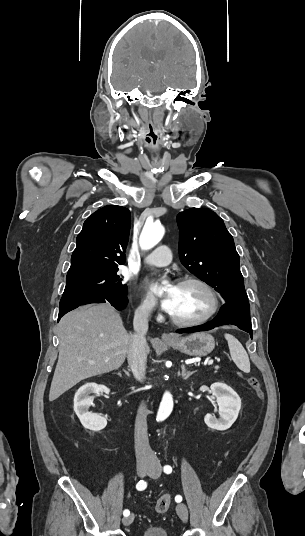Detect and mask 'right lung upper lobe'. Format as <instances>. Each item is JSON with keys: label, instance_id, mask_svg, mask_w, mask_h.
<instances>
[{"label": "right lung upper lobe", "instance_id": "obj_1", "mask_svg": "<svg viewBox=\"0 0 305 536\" xmlns=\"http://www.w3.org/2000/svg\"><path fill=\"white\" fill-rule=\"evenodd\" d=\"M130 211L108 205L94 212L77 236L67 278L118 269L125 263Z\"/></svg>", "mask_w": 305, "mask_h": 536}]
</instances>
